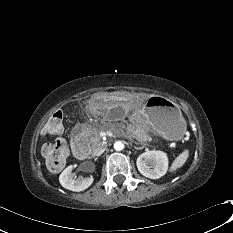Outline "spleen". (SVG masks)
<instances>
[{"label": "spleen", "mask_w": 233, "mask_h": 233, "mask_svg": "<svg viewBox=\"0 0 233 233\" xmlns=\"http://www.w3.org/2000/svg\"><path fill=\"white\" fill-rule=\"evenodd\" d=\"M185 124V123H184ZM189 157V150H184L181 154H179L171 164L170 171L174 172L177 169L181 168Z\"/></svg>", "instance_id": "spleen-1"}]
</instances>
